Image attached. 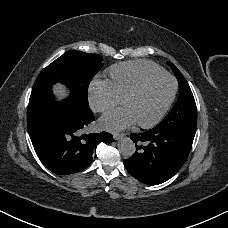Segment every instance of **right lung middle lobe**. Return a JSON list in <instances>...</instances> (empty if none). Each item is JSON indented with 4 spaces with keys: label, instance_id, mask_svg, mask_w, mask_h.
Returning <instances> with one entry per match:
<instances>
[{
    "label": "right lung middle lobe",
    "instance_id": "obj_1",
    "mask_svg": "<svg viewBox=\"0 0 228 228\" xmlns=\"http://www.w3.org/2000/svg\"><path fill=\"white\" fill-rule=\"evenodd\" d=\"M102 59L99 54L67 51L40 72L32 88L29 106L54 100L52 85L60 82L70 89L65 102L77 112L91 111L88 86L103 66Z\"/></svg>",
    "mask_w": 228,
    "mask_h": 228
}]
</instances>
